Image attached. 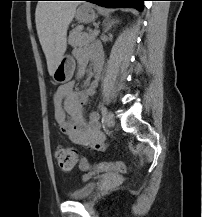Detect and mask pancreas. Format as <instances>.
Masks as SVG:
<instances>
[{
  "label": "pancreas",
  "mask_w": 202,
  "mask_h": 217,
  "mask_svg": "<svg viewBox=\"0 0 202 217\" xmlns=\"http://www.w3.org/2000/svg\"><path fill=\"white\" fill-rule=\"evenodd\" d=\"M95 38L96 35L93 33H84L82 32V28L78 26L70 32L68 43L74 47L85 46L94 41Z\"/></svg>",
  "instance_id": "obj_1"
}]
</instances>
